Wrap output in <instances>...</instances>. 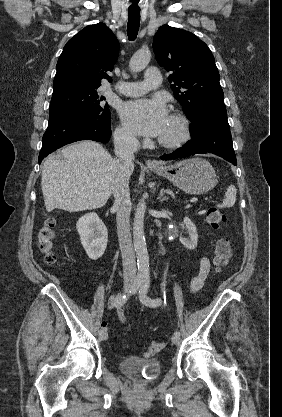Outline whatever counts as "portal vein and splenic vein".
<instances>
[{
  "mask_svg": "<svg viewBox=\"0 0 282 417\" xmlns=\"http://www.w3.org/2000/svg\"><path fill=\"white\" fill-rule=\"evenodd\" d=\"M203 200H204V198H203ZM187 202H188V203H197V202H198V197H195V198H188V199H187Z\"/></svg>",
  "mask_w": 282,
  "mask_h": 417,
  "instance_id": "obj_1",
  "label": "portal vein and splenic vein"
}]
</instances>
